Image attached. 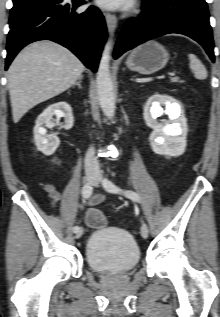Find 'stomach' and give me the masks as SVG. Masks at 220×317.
Listing matches in <instances>:
<instances>
[{
  "mask_svg": "<svg viewBox=\"0 0 220 317\" xmlns=\"http://www.w3.org/2000/svg\"><path fill=\"white\" fill-rule=\"evenodd\" d=\"M168 60L166 49L158 42L150 40L133 49L126 65L131 71L149 75L162 69Z\"/></svg>",
  "mask_w": 220,
  "mask_h": 317,
  "instance_id": "stomach-1",
  "label": "stomach"
}]
</instances>
